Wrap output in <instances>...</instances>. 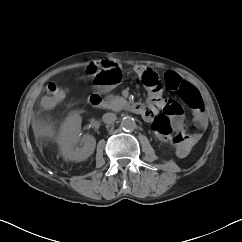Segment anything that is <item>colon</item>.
<instances>
[{
    "label": "colon",
    "mask_w": 242,
    "mask_h": 242,
    "mask_svg": "<svg viewBox=\"0 0 242 242\" xmlns=\"http://www.w3.org/2000/svg\"><path fill=\"white\" fill-rule=\"evenodd\" d=\"M85 75L91 77L94 83L99 87L112 86L121 80V70L117 68H110L102 66L100 63H89L85 68ZM143 84L153 93L159 92L161 89V82L154 72H147L142 77ZM166 85L171 90H177L181 99L192 109L200 110L202 102L198 90L186 81H181L172 74L166 76ZM67 94V90L55 83L47 85L42 104L45 107H52L61 102ZM154 131L167 137L171 133L169 120L162 114H157L153 119Z\"/></svg>",
    "instance_id": "obj_1"
}]
</instances>
